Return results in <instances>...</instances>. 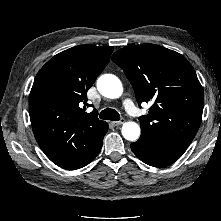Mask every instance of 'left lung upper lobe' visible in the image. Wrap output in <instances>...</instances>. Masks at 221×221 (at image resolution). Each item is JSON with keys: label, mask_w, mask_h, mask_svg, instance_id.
<instances>
[{"label": "left lung upper lobe", "mask_w": 221, "mask_h": 221, "mask_svg": "<svg viewBox=\"0 0 221 221\" xmlns=\"http://www.w3.org/2000/svg\"><path fill=\"white\" fill-rule=\"evenodd\" d=\"M112 61L124 70L138 104L153 103L149 114L139 118L141 136L189 146L201 123L204 94L187 59L167 48L143 44L118 50Z\"/></svg>", "instance_id": "obj_1"}]
</instances>
